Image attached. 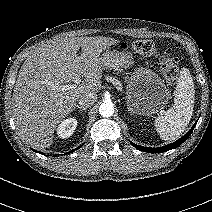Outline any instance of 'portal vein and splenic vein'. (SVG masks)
Here are the masks:
<instances>
[{"mask_svg": "<svg viewBox=\"0 0 212 212\" xmlns=\"http://www.w3.org/2000/svg\"><path fill=\"white\" fill-rule=\"evenodd\" d=\"M75 84H68V85H65L63 86V90H70V89H73V88H76L78 84H80L81 80H80V77L76 78L74 80Z\"/></svg>", "mask_w": 212, "mask_h": 212, "instance_id": "18ae733b", "label": "portal vein and splenic vein"}]
</instances>
